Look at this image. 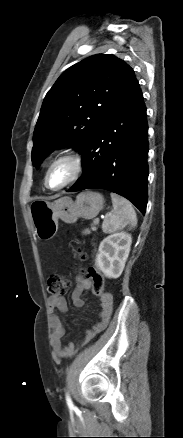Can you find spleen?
<instances>
[{
    "mask_svg": "<svg viewBox=\"0 0 183 438\" xmlns=\"http://www.w3.org/2000/svg\"><path fill=\"white\" fill-rule=\"evenodd\" d=\"M113 204L112 212L106 214L102 224L104 233H113L125 228L127 225L135 227L137 225V217L131 203L125 198L111 193Z\"/></svg>",
    "mask_w": 183,
    "mask_h": 438,
    "instance_id": "1",
    "label": "spleen"
}]
</instances>
